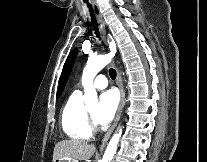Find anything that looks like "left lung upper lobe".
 <instances>
[{
    "label": "left lung upper lobe",
    "instance_id": "left-lung-upper-lobe-1",
    "mask_svg": "<svg viewBox=\"0 0 207 162\" xmlns=\"http://www.w3.org/2000/svg\"><path fill=\"white\" fill-rule=\"evenodd\" d=\"M77 54V49H74L70 54L69 56L67 57V60L64 64V67H63V71H62V75H61V80H60V86L63 87L70 71H71V67L73 65V62H74V59H75V56Z\"/></svg>",
    "mask_w": 207,
    "mask_h": 162
}]
</instances>
